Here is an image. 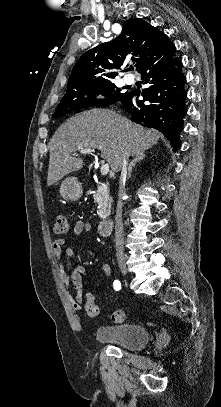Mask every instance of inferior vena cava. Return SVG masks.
<instances>
[{
    "instance_id": "1",
    "label": "inferior vena cava",
    "mask_w": 221,
    "mask_h": 407,
    "mask_svg": "<svg viewBox=\"0 0 221 407\" xmlns=\"http://www.w3.org/2000/svg\"><path fill=\"white\" fill-rule=\"evenodd\" d=\"M127 164H128V154L122 158L120 164V187H119V201L117 204L116 216H115V247H116V257L118 262H124V247H123V221H122V202L121 198L123 196V184L126 181L127 176Z\"/></svg>"
}]
</instances>
